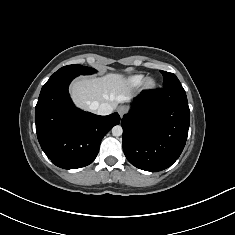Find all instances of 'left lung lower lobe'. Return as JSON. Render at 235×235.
<instances>
[{
	"label": "left lung lower lobe",
	"instance_id": "1",
	"mask_svg": "<svg viewBox=\"0 0 235 235\" xmlns=\"http://www.w3.org/2000/svg\"><path fill=\"white\" fill-rule=\"evenodd\" d=\"M189 123L190 110L182 86L143 91L121 120L126 158L145 171L170 167L183 151Z\"/></svg>",
	"mask_w": 235,
	"mask_h": 235
}]
</instances>
